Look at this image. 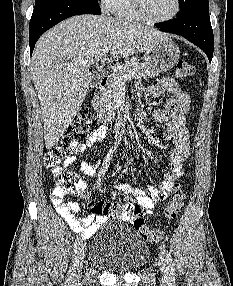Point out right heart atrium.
Returning a JSON list of instances; mask_svg holds the SVG:
<instances>
[{"mask_svg":"<svg viewBox=\"0 0 233 286\" xmlns=\"http://www.w3.org/2000/svg\"><path fill=\"white\" fill-rule=\"evenodd\" d=\"M101 6L103 9L109 10L110 4L112 0H100Z\"/></svg>","mask_w":233,"mask_h":286,"instance_id":"1","label":"right heart atrium"}]
</instances>
